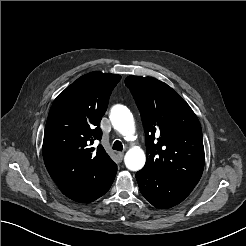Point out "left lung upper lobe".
Returning a JSON list of instances; mask_svg holds the SVG:
<instances>
[{"mask_svg":"<svg viewBox=\"0 0 246 246\" xmlns=\"http://www.w3.org/2000/svg\"><path fill=\"white\" fill-rule=\"evenodd\" d=\"M126 85L140 110L147 148L142 171L196 185L204 169V146L198 118L167 84L128 76Z\"/></svg>","mask_w":246,"mask_h":246,"instance_id":"1","label":"left lung upper lobe"}]
</instances>
